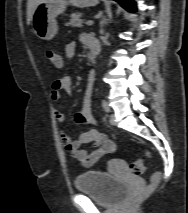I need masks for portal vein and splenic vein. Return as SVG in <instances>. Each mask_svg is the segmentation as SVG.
I'll return each mask as SVG.
<instances>
[{
  "mask_svg": "<svg viewBox=\"0 0 188 213\" xmlns=\"http://www.w3.org/2000/svg\"><path fill=\"white\" fill-rule=\"evenodd\" d=\"M86 25H88V26L93 25V21H92V20H88V21H86Z\"/></svg>",
  "mask_w": 188,
  "mask_h": 213,
  "instance_id": "18ae733b",
  "label": "portal vein and splenic vein"
}]
</instances>
